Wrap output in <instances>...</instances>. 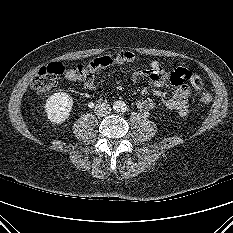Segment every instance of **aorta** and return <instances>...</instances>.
<instances>
[{"label": "aorta", "instance_id": "aorta-1", "mask_svg": "<svg viewBox=\"0 0 233 233\" xmlns=\"http://www.w3.org/2000/svg\"><path fill=\"white\" fill-rule=\"evenodd\" d=\"M124 107V103L121 102V101H115L114 102V105H113V108L116 109V110H121L123 109Z\"/></svg>", "mask_w": 233, "mask_h": 233}]
</instances>
